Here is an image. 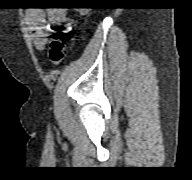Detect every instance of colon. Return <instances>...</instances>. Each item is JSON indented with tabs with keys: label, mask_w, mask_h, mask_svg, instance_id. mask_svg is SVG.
<instances>
[{
	"label": "colon",
	"mask_w": 192,
	"mask_h": 180,
	"mask_svg": "<svg viewBox=\"0 0 192 180\" xmlns=\"http://www.w3.org/2000/svg\"><path fill=\"white\" fill-rule=\"evenodd\" d=\"M70 37V32L66 29L57 30L53 33L48 49L49 59L53 66L61 64L65 55V42Z\"/></svg>",
	"instance_id": "5ec220e1"
}]
</instances>
